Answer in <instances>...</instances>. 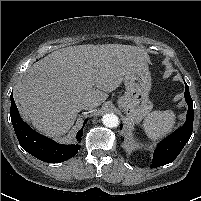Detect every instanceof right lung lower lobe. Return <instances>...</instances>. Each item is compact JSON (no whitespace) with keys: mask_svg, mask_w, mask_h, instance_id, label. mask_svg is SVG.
Segmentation results:
<instances>
[{"mask_svg":"<svg viewBox=\"0 0 201 201\" xmlns=\"http://www.w3.org/2000/svg\"><path fill=\"white\" fill-rule=\"evenodd\" d=\"M10 115L16 136L22 148L41 161L60 163L75 156L80 149L79 144H58L31 129L21 119L13 95H11ZM87 121L88 119L84 121V125ZM82 131L83 128L77 133L76 138L78 141L81 140Z\"/></svg>","mask_w":201,"mask_h":201,"instance_id":"98d812e1","label":"right lung lower lobe"}]
</instances>
